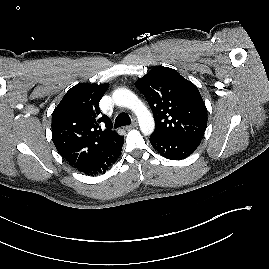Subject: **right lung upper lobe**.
Listing matches in <instances>:
<instances>
[{"label":"right lung upper lobe","mask_w":269,"mask_h":269,"mask_svg":"<svg viewBox=\"0 0 269 269\" xmlns=\"http://www.w3.org/2000/svg\"><path fill=\"white\" fill-rule=\"evenodd\" d=\"M109 84H78L63 97L52 113V140L61 156L79 168L121 137L111 130L99 101ZM105 124V129L101 128Z\"/></svg>","instance_id":"obj_1"}]
</instances>
